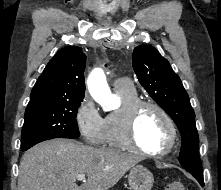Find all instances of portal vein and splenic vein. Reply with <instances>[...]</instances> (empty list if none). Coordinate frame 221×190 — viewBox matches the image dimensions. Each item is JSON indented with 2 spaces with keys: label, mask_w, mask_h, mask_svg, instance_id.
I'll return each mask as SVG.
<instances>
[{
  "label": "portal vein and splenic vein",
  "mask_w": 221,
  "mask_h": 190,
  "mask_svg": "<svg viewBox=\"0 0 221 190\" xmlns=\"http://www.w3.org/2000/svg\"><path fill=\"white\" fill-rule=\"evenodd\" d=\"M77 180L79 181H85V174H81L77 176Z\"/></svg>",
  "instance_id": "1"
}]
</instances>
